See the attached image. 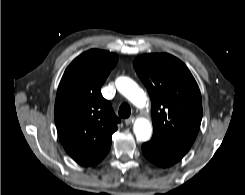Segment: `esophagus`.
<instances>
[{"label": "esophagus", "instance_id": "obj_1", "mask_svg": "<svg viewBox=\"0 0 245 195\" xmlns=\"http://www.w3.org/2000/svg\"><path fill=\"white\" fill-rule=\"evenodd\" d=\"M134 122V117H130L128 119L125 120V124L128 126V125H131L132 123Z\"/></svg>", "mask_w": 245, "mask_h": 195}]
</instances>
